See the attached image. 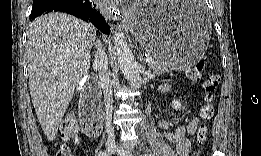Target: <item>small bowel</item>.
<instances>
[{"label": "small bowel", "mask_w": 261, "mask_h": 156, "mask_svg": "<svg viewBox=\"0 0 261 156\" xmlns=\"http://www.w3.org/2000/svg\"><path fill=\"white\" fill-rule=\"evenodd\" d=\"M164 92H169L170 87L164 85L161 87ZM198 125V119L191 118L187 119L185 124L178 126L173 131H168L170 127L173 126L172 122L165 121L160 123V128L165 132L166 138L173 144L176 145V152L179 156H187L190 150V141L187 135H192L195 133Z\"/></svg>", "instance_id": "1"}]
</instances>
